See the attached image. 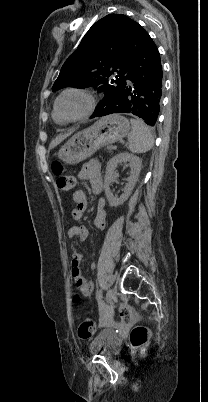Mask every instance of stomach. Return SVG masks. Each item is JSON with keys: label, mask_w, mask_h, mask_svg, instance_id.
<instances>
[{"label": "stomach", "mask_w": 208, "mask_h": 402, "mask_svg": "<svg viewBox=\"0 0 208 402\" xmlns=\"http://www.w3.org/2000/svg\"><path fill=\"white\" fill-rule=\"evenodd\" d=\"M130 124L120 114H110L98 120L96 124L75 134L65 146L60 148L57 156L65 164H79L93 156L100 148L119 142L127 136Z\"/></svg>", "instance_id": "1"}]
</instances>
